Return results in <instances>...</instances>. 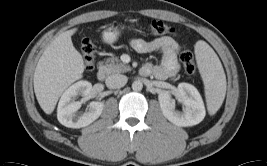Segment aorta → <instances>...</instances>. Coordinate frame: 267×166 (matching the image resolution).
<instances>
[{"mask_svg":"<svg viewBox=\"0 0 267 166\" xmlns=\"http://www.w3.org/2000/svg\"><path fill=\"white\" fill-rule=\"evenodd\" d=\"M142 88H143V84H142L141 81L136 80V81H134V82L132 83V89H133L134 91H141Z\"/></svg>","mask_w":267,"mask_h":166,"instance_id":"obj_1","label":"aorta"}]
</instances>
